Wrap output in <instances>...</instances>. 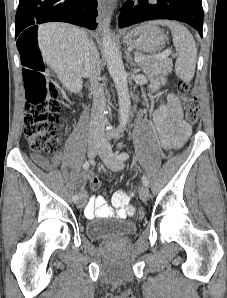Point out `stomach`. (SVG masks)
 <instances>
[{"label": "stomach", "instance_id": "stomach-1", "mask_svg": "<svg viewBox=\"0 0 227 298\" xmlns=\"http://www.w3.org/2000/svg\"><path fill=\"white\" fill-rule=\"evenodd\" d=\"M126 45L141 52L156 53L167 41L165 33L153 22L144 23L124 33Z\"/></svg>", "mask_w": 227, "mask_h": 298}]
</instances>
